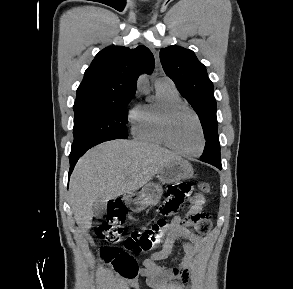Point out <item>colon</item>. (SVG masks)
<instances>
[{"label": "colon", "instance_id": "5ec220e1", "mask_svg": "<svg viewBox=\"0 0 293 289\" xmlns=\"http://www.w3.org/2000/svg\"><path fill=\"white\" fill-rule=\"evenodd\" d=\"M199 189L204 193H208L210 186L207 183H200ZM191 190L192 187L188 183L170 185L167 188V199L159 209L160 214L169 215L177 211ZM125 215L126 209L122 203L114 202L111 204L107 215L96 224L95 232L97 237L109 243L118 242L123 233ZM166 226L165 220L158 219L126 237L124 251L106 247L101 251V256L107 261H112L116 269L124 276L133 278L137 274L138 268L130 253L146 252L152 249L163 237Z\"/></svg>", "mask_w": 293, "mask_h": 289}]
</instances>
